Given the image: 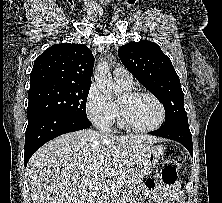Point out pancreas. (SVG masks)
<instances>
[{"label": "pancreas", "mask_w": 222, "mask_h": 203, "mask_svg": "<svg viewBox=\"0 0 222 203\" xmlns=\"http://www.w3.org/2000/svg\"><path fill=\"white\" fill-rule=\"evenodd\" d=\"M117 180L121 183V186L135 185L141 181V179L133 171H128V172L124 173ZM116 192H106L105 191L104 193H102L101 196L99 197L100 203H116L115 202Z\"/></svg>", "instance_id": "cf45deb5"}]
</instances>
